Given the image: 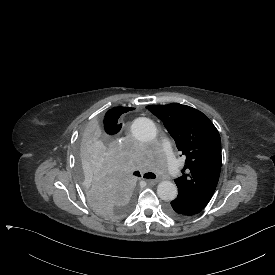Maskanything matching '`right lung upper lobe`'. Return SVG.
<instances>
[{"label": "right lung upper lobe", "mask_w": 275, "mask_h": 275, "mask_svg": "<svg viewBox=\"0 0 275 275\" xmlns=\"http://www.w3.org/2000/svg\"><path fill=\"white\" fill-rule=\"evenodd\" d=\"M133 109L134 108L129 107H115L106 113L104 119V127L110 135H114L120 131L122 124H119L118 122L119 117L123 113L131 111Z\"/></svg>", "instance_id": "cb5924a9"}]
</instances>
